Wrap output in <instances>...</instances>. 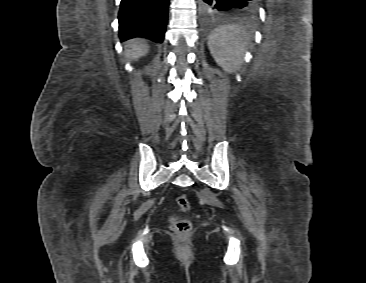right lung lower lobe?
I'll return each mask as SVG.
<instances>
[{"instance_id":"obj_1","label":"right lung lower lobe","mask_w":366,"mask_h":283,"mask_svg":"<svg viewBox=\"0 0 366 283\" xmlns=\"http://www.w3.org/2000/svg\"><path fill=\"white\" fill-rule=\"evenodd\" d=\"M169 0H122L119 10L121 41L144 37L162 43Z\"/></svg>"}]
</instances>
